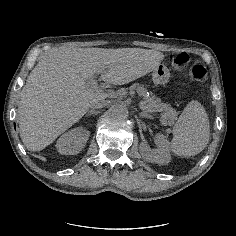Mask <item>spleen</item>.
<instances>
[{"label":"spleen","instance_id":"1","mask_svg":"<svg viewBox=\"0 0 236 236\" xmlns=\"http://www.w3.org/2000/svg\"><path fill=\"white\" fill-rule=\"evenodd\" d=\"M171 150L182 156H194L208 144L210 127L204 107L197 101L186 105L173 128Z\"/></svg>","mask_w":236,"mask_h":236}]
</instances>
